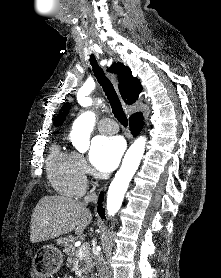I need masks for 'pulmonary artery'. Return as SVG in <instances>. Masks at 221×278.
I'll use <instances>...</instances> for the list:
<instances>
[{
  "label": "pulmonary artery",
  "instance_id": "1",
  "mask_svg": "<svg viewBox=\"0 0 221 278\" xmlns=\"http://www.w3.org/2000/svg\"><path fill=\"white\" fill-rule=\"evenodd\" d=\"M99 130L105 134H113L118 131V127L112 119L105 118L100 121Z\"/></svg>",
  "mask_w": 221,
  "mask_h": 278
}]
</instances>
